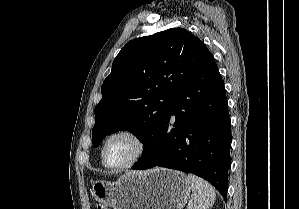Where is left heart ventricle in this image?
<instances>
[{"label": "left heart ventricle", "instance_id": "b2bd125f", "mask_svg": "<svg viewBox=\"0 0 299 209\" xmlns=\"http://www.w3.org/2000/svg\"><path fill=\"white\" fill-rule=\"evenodd\" d=\"M136 152L135 142L126 137L119 136L112 139L106 150V162L110 166H120L127 163Z\"/></svg>", "mask_w": 299, "mask_h": 209}]
</instances>
